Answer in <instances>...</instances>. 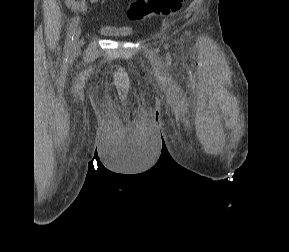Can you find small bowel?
<instances>
[{
    "label": "small bowel",
    "mask_w": 289,
    "mask_h": 252,
    "mask_svg": "<svg viewBox=\"0 0 289 252\" xmlns=\"http://www.w3.org/2000/svg\"><path fill=\"white\" fill-rule=\"evenodd\" d=\"M99 0H66L69 9L75 12H82L89 8L91 4L97 3Z\"/></svg>",
    "instance_id": "small-bowel-1"
}]
</instances>
